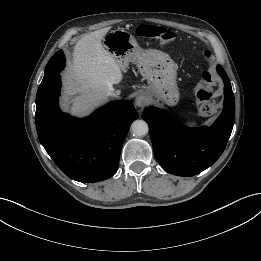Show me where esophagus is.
Returning a JSON list of instances; mask_svg holds the SVG:
<instances>
[{"label": "esophagus", "mask_w": 261, "mask_h": 261, "mask_svg": "<svg viewBox=\"0 0 261 261\" xmlns=\"http://www.w3.org/2000/svg\"><path fill=\"white\" fill-rule=\"evenodd\" d=\"M148 98L144 93H140L135 98V105L139 108H143L147 105Z\"/></svg>", "instance_id": "obj_1"}]
</instances>
